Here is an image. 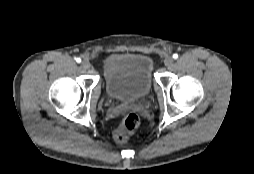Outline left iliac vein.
<instances>
[{
    "instance_id": "1",
    "label": "left iliac vein",
    "mask_w": 254,
    "mask_h": 174,
    "mask_svg": "<svg viewBox=\"0 0 254 174\" xmlns=\"http://www.w3.org/2000/svg\"><path fill=\"white\" fill-rule=\"evenodd\" d=\"M164 64H165V66H167V67L172 66V64H173V58L170 57V56L166 57L165 60H164Z\"/></svg>"
}]
</instances>
